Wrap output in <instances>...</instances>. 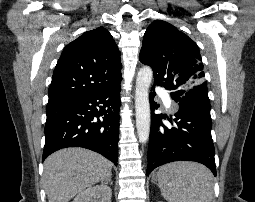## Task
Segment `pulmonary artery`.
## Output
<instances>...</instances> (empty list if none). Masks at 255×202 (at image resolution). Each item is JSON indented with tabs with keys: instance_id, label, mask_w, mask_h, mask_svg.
<instances>
[{
	"instance_id": "pulmonary-artery-1",
	"label": "pulmonary artery",
	"mask_w": 255,
	"mask_h": 202,
	"mask_svg": "<svg viewBox=\"0 0 255 202\" xmlns=\"http://www.w3.org/2000/svg\"><path fill=\"white\" fill-rule=\"evenodd\" d=\"M159 92H162L161 89H157ZM165 106L171 111L175 112L176 111V105L171 102L168 98L164 100Z\"/></svg>"
}]
</instances>
